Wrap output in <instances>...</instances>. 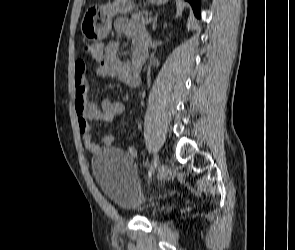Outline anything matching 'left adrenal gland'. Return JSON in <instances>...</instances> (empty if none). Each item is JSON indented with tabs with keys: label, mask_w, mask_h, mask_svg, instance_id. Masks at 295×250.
Masks as SVG:
<instances>
[{
	"label": "left adrenal gland",
	"mask_w": 295,
	"mask_h": 250,
	"mask_svg": "<svg viewBox=\"0 0 295 250\" xmlns=\"http://www.w3.org/2000/svg\"><path fill=\"white\" fill-rule=\"evenodd\" d=\"M157 18H158V15H156V17L154 18L153 24H152V30L153 31H155L156 27H157Z\"/></svg>",
	"instance_id": "obj_1"
}]
</instances>
